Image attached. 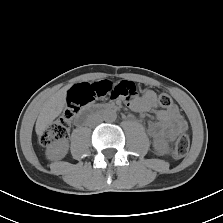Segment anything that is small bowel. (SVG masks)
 Segmentation results:
<instances>
[{
    "label": "small bowel",
    "mask_w": 223,
    "mask_h": 223,
    "mask_svg": "<svg viewBox=\"0 0 223 223\" xmlns=\"http://www.w3.org/2000/svg\"><path fill=\"white\" fill-rule=\"evenodd\" d=\"M129 106L136 112H155L157 120L149 123L148 132L157 142H171L188 127L177 106L158 107L157 95L152 90H146L141 97L132 100Z\"/></svg>",
    "instance_id": "small-bowel-1"
}]
</instances>
